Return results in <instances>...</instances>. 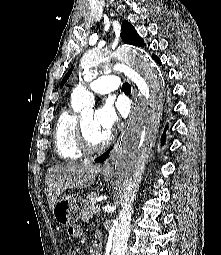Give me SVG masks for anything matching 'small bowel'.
<instances>
[{
  "instance_id": "c3829d8e",
  "label": "small bowel",
  "mask_w": 221,
  "mask_h": 255,
  "mask_svg": "<svg viewBox=\"0 0 221 255\" xmlns=\"http://www.w3.org/2000/svg\"><path fill=\"white\" fill-rule=\"evenodd\" d=\"M68 234L72 238H80L83 235V230L80 225H73L68 229ZM67 255H76L75 252L70 251Z\"/></svg>"
}]
</instances>
